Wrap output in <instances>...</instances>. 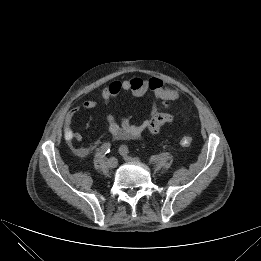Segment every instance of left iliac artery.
I'll return each instance as SVG.
<instances>
[{"label":"left iliac artery","mask_w":261,"mask_h":261,"mask_svg":"<svg viewBox=\"0 0 261 261\" xmlns=\"http://www.w3.org/2000/svg\"><path fill=\"white\" fill-rule=\"evenodd\" d=\"M119 151L120 153H125V154H128L129 153V149L127 146L125 145H122L120 148H119Z\"/></svg>","instance_id":"left-iliac-artery-1"}]
</instances>
